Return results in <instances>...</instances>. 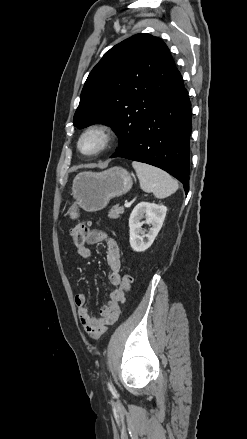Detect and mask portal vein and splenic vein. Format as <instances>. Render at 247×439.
I'll use <instances>...</instances> for the list:
<instances>
[{
    "instance_id": "obj_1",
    "label": "portal vein and splenic vein",
    "mask_w": 247,
    "mask_h": 439,
    "mask_svg": "<svg viewBox=\"0 0 247 439\" xmlns=\"http://www.w3.org/2000/svg\"><path fill=\"white\" fill-rule=\"evenodd\" d=\"M124 206H125V207H130V206H131V202H129V201H125Z\"/></svg>"
}]
</instances>
